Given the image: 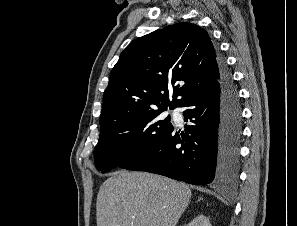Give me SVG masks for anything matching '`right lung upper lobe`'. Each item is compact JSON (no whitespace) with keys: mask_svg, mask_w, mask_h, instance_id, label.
<instances>
[{"mask_svg":"<svg viewBox=\"0 0 297 226\" xmlns=\"http://www.w3.org/2000/svg\"><path fill=\"white\" fill-rule=\"evenodd\" d=\"M219 59L208 33L192 23L137 38L111 72L101 129L149 111L180 107L189 96L209 90L220 78Z\"/></svg>","mask_w":297,"mask_h":226,"instance_id":"cb5924a9","label":"right lung upper lobe"}]
</instances>
